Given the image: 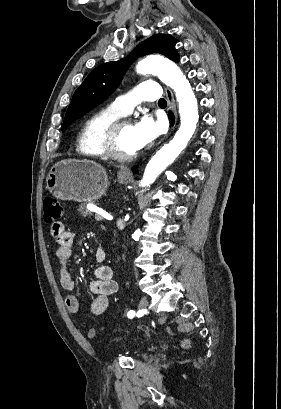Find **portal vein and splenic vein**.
<instances>
[{"instance_id":"18ae733b","label":"portal vein and splenic vein","mask_w":281,"mask_h":409,"mask_svg":"<svg viewBox=\"0 0 281 409\" xmlns=\"http://www.w3.org/2000/svg\"><path fill=\"white\" fill-rule=\"evenodd\" d=\"M94 201V200H93ZM95 202V201H94ZM96 216V219H97V221H103L104 219H105V216L104 215H95Z\"/></svg>"}]
</instances>
